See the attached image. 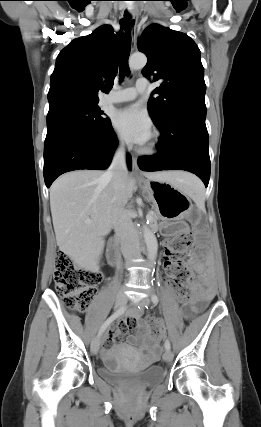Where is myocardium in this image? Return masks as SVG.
<instances>
[{
	"label": "myocardium",
	"instance_id": "myocardium-1",
	"mask_svg": "<svg viewBox=\"0 0 261 427\" xmlns=\"http://www.w3.org/2000/svg\"><path fill=\"white\" fill-rule=\"evenodd\" d=\"M160 148V135L158 132H154L151 135L150 141L140 149V152L144 155H153L159 151Z\"/></svg>",
	"mask_w": 261,
	"mask_h": 427
}]
</instances>
